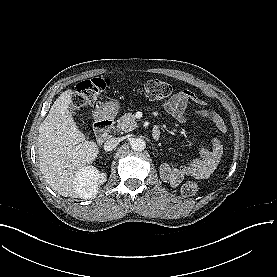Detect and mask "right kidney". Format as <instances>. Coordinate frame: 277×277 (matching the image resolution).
<instances>
[{
    "mask_svg": "<svg viewBox=\"0 0 277 277\" xmlns=\"http://www.w3.org/2000/svg\"><path fill=\"white\" fill-rule=\"evenodd\" d=\"M100 178L105 180V174L100 173L96 167L85 166L76 173L75 184L81 197L90 198L97 194Z\"/></svg>",
    "mask_w": 277,
    "mask_h": 277,
    "instance_id": "ca27d5eb",
    "label": "right kidney"
}]
</instances>
